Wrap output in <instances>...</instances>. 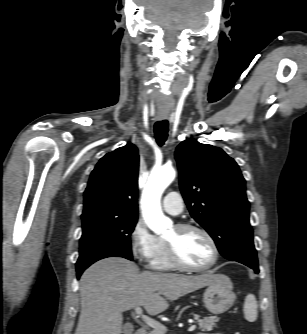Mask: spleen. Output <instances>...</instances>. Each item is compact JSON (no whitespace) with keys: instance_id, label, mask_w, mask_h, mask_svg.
Instances as JSON below:
<instances>
[{"instance_id":"spleen-1","label":"spleen","mask_w":307,"mask_h":334,"mask_svg":"<svg viewBox=\"0 0 307 334\" xmlns=\"http://www.w3.org/2000/svg\"><path fill=\"white\" fill-rule=\"evenodd\" d=\"M258 305L256 301V297L253 294H248L245 297L244 303V315L245 319L249 322H254L257 319V311Z\"/></svg>"}]
</instances>
